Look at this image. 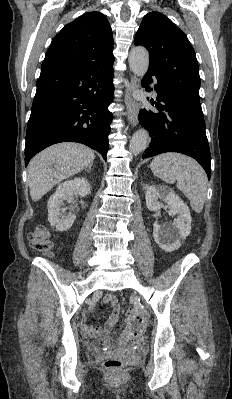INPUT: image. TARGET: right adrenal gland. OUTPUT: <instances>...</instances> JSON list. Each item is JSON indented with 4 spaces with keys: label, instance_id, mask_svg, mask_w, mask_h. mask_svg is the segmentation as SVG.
<instances>
[{
    "label": "right adrenal gland",
    "instance_id": "2a0ac1e0",
    "mask_svg": "<svg viewBox=\"0 0 232 399\" xmlns=\"http://www.w3.org/2000/svg\"><path fill=\"white\" fill-rule=\"evenodd\" d=\"M92 168V164H89L88 168H85L84 172H88L90 174Z\"/></svg>",
    "mask_w": 232,
    "mask_h": 399
}]
</instances>
